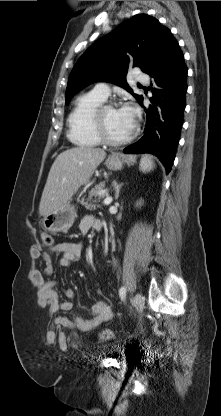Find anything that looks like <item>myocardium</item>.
Returning <instances> with one entry per match:
<instances>
[{"instance_id":"myocardium-1","label":"myocardium","mask_w":221,"mask_h":416,"mask_svg":"<svg viewBox=\"0 0 221 416\" xmlns=\"http://www.w3.org/2000/svg\"><path fill=\"white\" fill-rule=\"evenodd\" d=\"M116 107H117L116 104L111 103V102L103 103L96 109L95 114H94V129L98 138L100 139L102 143L109 145V146H114V147L122 146V145L129 143L134 138V135H135V129H133L131 134L122 140H115L109 136L106 126H105V122H104V113L106 110L114 109Z\"/></svg>"}]
</instances>
